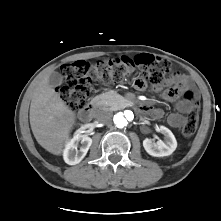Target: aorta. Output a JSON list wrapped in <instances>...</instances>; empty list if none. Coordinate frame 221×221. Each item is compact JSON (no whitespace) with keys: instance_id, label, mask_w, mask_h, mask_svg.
Instances as JSON below:
<instances>
[{"instance_id":"obj_1","label":"aorta","mask_w":221,"mask_h":221,"mask_svg":"<svg viewBox=\"0 0 221 221\" xmlns=\"http://www.w3.org/2000/svg\"><path fill=\"white\" fill-rule=\"evenodd\" d=\"M134 119V113L131 110H125L124 112H119L114 116V123L118 128H123Z\"/></svg>"}]
</instances>
